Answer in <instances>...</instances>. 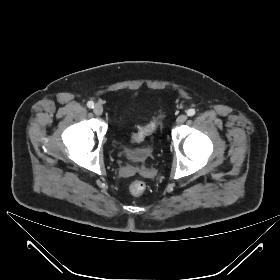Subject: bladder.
Masks as SVG:
<instances>
[{"label": "bladder", "instance_id": "1", "mask_svg": "<svg viewBox=\"0 0 280 280\" xmlns=\"http://www.w3.org/2000/svg\"><path fill=\"white\" fill-rule=\"evenodd\" d=\"M122 124V117L118 119V126L120 127ZM123 152L135 163L144 164L146 163L152 156V149L146 146L136 147V148H127L121 146Z\"/></svg>", "mask_w": 280, "mask_h": 280}]
</instances>
